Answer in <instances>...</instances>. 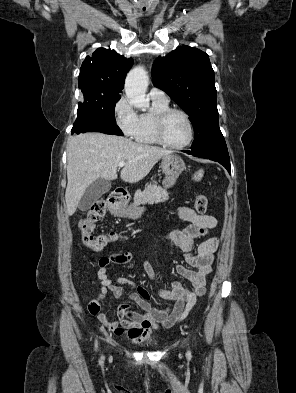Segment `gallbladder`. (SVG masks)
Masks as SVG:
<instances>
[{
  "instance_id": "1",
  "label": "gallbladder",
  "mask_w": 296,
  "mask_h": 393,
  "mask_svg": "<svg viewBox=\"0 0 296 393\" xmlns=\"http://www.w3.org/2000/svg\"><path fill=\"white\" fill-rule=\"evenodd\" d=\"M111 189V182L109 180L99 178L94 181L85 191L82 196L78 208L81 211H87L103 194Z\"/></svg>"
}]
</instances>
